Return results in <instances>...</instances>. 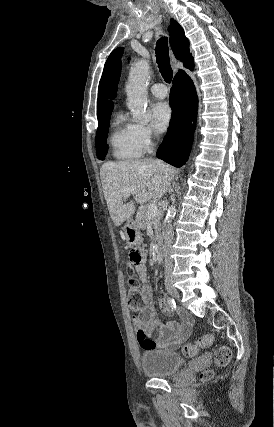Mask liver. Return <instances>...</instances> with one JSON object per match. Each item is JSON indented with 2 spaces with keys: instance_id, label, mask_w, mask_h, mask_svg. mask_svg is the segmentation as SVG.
Listing matches in <instances>:
<instances>
[{
  "instance_id": "obj_1",
  "label": "liver",
  "mask_w": 274,
  "mask_h": 427,
  "mask_svg": "<svg viewBox=\"0 0 274 427\" xmlns=\"http://www.w3.org/2000/svg\"><path fill=\"white\" fill-rule=\"evenodd\" d=\"M175 174L172 166L161 160H125L106 162L101 166L100 178L108 210L115 225L135 214V202H156L166 194ZM135 188L133 200L123 204L125 190Z\"/></svg>"
}]
</instances>
